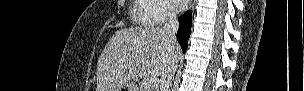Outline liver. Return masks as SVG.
<instances>
[{
	"label": "liver",
	"instance_id": "6515ba94",
	"mask_svg": "<svg viewBox=\"0 0 304 91\" xmlns=\"http://www.w3.org/2000/svg\"><path fill=\"white\" fill-rule=\"evenodd\" d=\"M181 50L158 27L118 30L103 49L97 63L96 91H120L137 77L156 78Z\"/></svg>",
	"mask_w": 304,
	"mask_h": 91
}]
</instances>
